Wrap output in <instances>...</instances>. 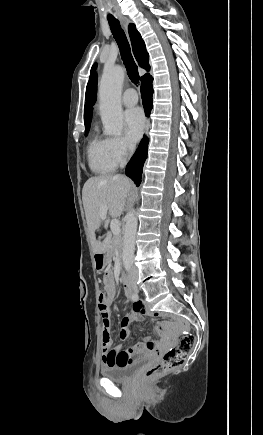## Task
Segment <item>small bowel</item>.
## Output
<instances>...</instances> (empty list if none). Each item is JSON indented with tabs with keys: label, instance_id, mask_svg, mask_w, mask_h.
<instances>
[{
	"label": "small bowel",
	"instance_id": "c3829d8e",
	"mask_svg": "<svg viewBox=\"0 0 263 435\" xmlns=\"http://www.w3.org/2000/svg\"><path fill=\"white\" fill-rule=\"evenodd\" d=\"M105 293L104 299L99 303V309L102 319L103 328H111L112 317L110 306L116 298V286L114 274L112 271H107L104 275ZM145 312L142 302L134 304V310L130 314L124 316L119 324V336L122 340L129 337V325L133 321H141L142 313ZM155 315V314H153ZM164 324L159 325V330H164ZM143 344H139L132 349L123 350L121 346H117L114 350H103L102 360L106 366L126 365L143 358L154 357L160 354L170 343H173V338L163 336L160 341H153L149 338L144 339Z\"/></svg>",
	"mask_w": 263,
	"mask_h": 435
}]
</instances>
